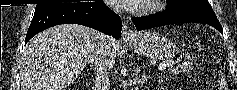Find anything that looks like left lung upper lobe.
Wrapping results in <instances>:
<instances>
[{"instance_id":"1","label":"left lung upper lobe","mask_w":237,"mask_h":90,"mask_svg":"<svg viewBox=\"0 0 237 90\" xmlns=\"http://www.w3.org/2000/svg\"><path fill=\"white\" fill-rule=\"evenodd\" d=\"M170 10H190L215 15L208 0H168Z\"/></svg>"}]
</instances>
